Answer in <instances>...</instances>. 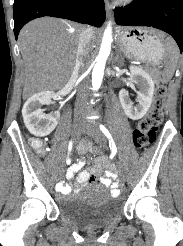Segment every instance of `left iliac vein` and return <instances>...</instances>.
I'll return each mask as SVG.
<instances>
[{
  "label": "left iliac vein",
  "instance_id": "obj_1",
  "mask_svg": "<svg viewBox=\"0 0 183 246\" xmlns=\"http://www.w3.org/2000/svg\"><path fill=\"white\" fill-rule=\"evenodd\" d=\"M90 129L94 132V137H95V140L103 147L106 146V140L104 138V136L102 135V133L100 132V130L95 126H91ZM118 166H119V170L120 172H122V167L120 165V163H118Z\"/></svg>",
  "mask_w": 183,
  "mask_h": 246
}]
</instances>
